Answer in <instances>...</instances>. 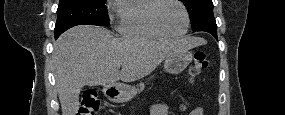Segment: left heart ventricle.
<instances>
[{"label":"left heart ventricle","mask_w":285,"mask_h":115,"mask_svg":"<svg viewBox=\"0 0 285 115\" xmlns=\"http://www.w3.org/2000/svg\"><path fill=\"white\" fill-rule=\"evenodd\" d=\"M160 24L171 33H179L184 30L186 21L182 8L173 1L162 3L158 9Z\"/></svg>","instance_id":"obj_1"}]
</instances>
